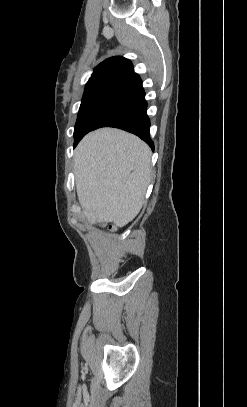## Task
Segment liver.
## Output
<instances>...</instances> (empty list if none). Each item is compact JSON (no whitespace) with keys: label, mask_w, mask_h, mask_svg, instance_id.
I'll list each match as a JSON object with an SVG mask.
<instances>
[{"label":"liver","mask_w":247,"mask_h":407,"mask_svg":"<svg viewBox=\"0 0 247 407\" xmlns=\"http://www.w3.org/2000/svg\"><path fill=\"white\" fill-rule=\"evenodd\" d=\"M151 151L113 128L87 134L74 153L75 184L84 218L122 227L139 213L151 179Z\"/></svg>","instance_id":"1"}]
</instances>
